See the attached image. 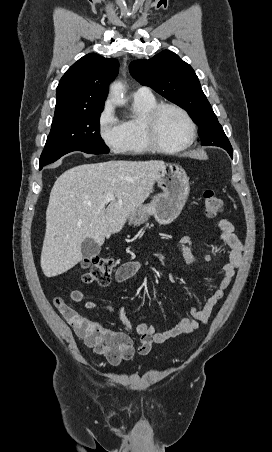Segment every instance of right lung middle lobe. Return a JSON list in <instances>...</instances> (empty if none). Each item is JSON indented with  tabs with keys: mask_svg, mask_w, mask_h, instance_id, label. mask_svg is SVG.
I'll return each mask as SVG.
<instances>
[{
	"mask_svg": "<svg viewBox=\"0 0 272 452\" xmlns=\"http://www.w3.org/2000/svg\"><path fill=\"white\" fill-rule=\"evenodd\" d=\"M103 108L54 116L51 131L40 157V165H47L72 151L88 154H107L99 133V118Z\"/></svg>",
	"mask_w": 272,
	"mask_h": 452,
	"instance_id": "dd1d6c3e",
	"label": "right lung middle lobe"
}]
</instances>
